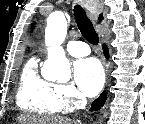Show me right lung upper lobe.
<instances>
[{
    "label": "right lung upper lobe",
    "mask_w": 145,
    "mask_h": 124,
    "mask_svg": "<svg viewBox=\"0 0 145 124\" xmlns=\"http://www.w3.org/2000/svg\"><path fill=\"white\" fill-rule=\"evenodd\" d=\"M103 19V17H102V15H100V18H99V20L101 21Z\"/></svg>",
    "instance_id": "1"
}]
</instances>
